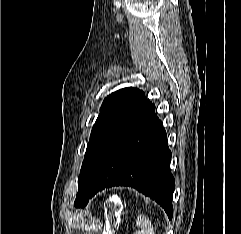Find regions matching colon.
<instances>
[{
	"instance_id": "5ec220e1",
	"label": "colon",
	"mask_w": 241,
	"mask_h": 234,
	"mask_svg": "<svg viewBox=\"0 0 241 234\" xmlns=\"http://www.w3.org/2000/svg\"><path fill=\"white\" fill-rule=\"evenodd\" d=\"M120 209V205L118 202H115V201H111L108 203L107 205V210L109 213L111 214H115L116 212H118Z\"/></svg>"
}]
</instances>
